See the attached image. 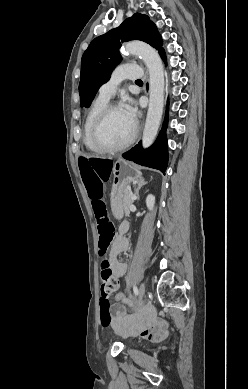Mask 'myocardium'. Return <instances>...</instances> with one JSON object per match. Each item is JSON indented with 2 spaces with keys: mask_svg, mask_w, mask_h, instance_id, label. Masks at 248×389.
Segmentation results:
<instances>
[{
  "mask_svg": "<svg viewBox=\"0 0 248 389\" xmlns=\"http://www.w3.org/2000/svg\"><path fill=\"white\" fill-rule=\"evenodd\" d=\"M121 108L118 103H108L100 112L98 117L95 120V123L92 128V141L95 144V146L101 151V152H106V153H113V152H118L121 151L128 146H130L136 139L137 134H138V128L137 125L134 124V129L130 137L124 141L121 144L118 145H110L107 144L103 141L101 137V132L102 129L110 115V113L117 109Z\"/></svg>",
  "mask_w": 248,
  "mask_h": 389,
  "instance_id": "f54148a6",
  "label": "myocardium"
}]
</instances>
